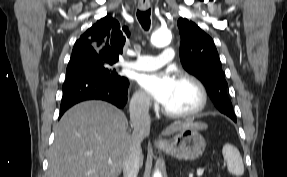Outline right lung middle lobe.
Instances as JSON below:
<instances>
[{
	"mask_svg": "<svg viewBox=\"0 0 287 177\" xmlns=\"http://www.w3.org/2000/svg\"><path fill=\"white\" fill-rule=\"evenodd\" d=\"M114 63L116 62L100 58H83L76 61H70L67 66L66 75L90 72L113 80L123 78L115 69L110 67Z\"/></svg>",
	"mask_w": 287,
	"mask_h": 177,
	"instance_id": "dd1d6c3e",
	"label": "right lung middle lobe"
}]
</instances>
